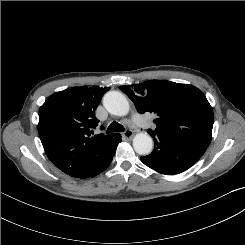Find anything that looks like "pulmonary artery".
<instances>
[{
	"label": "pulmonary artery",
	"mask_w": 245,
	"mask_h": 245,
	"mask_svg": "<svg viewBox=\"0 0 245 245\" xmlns=\"http://www.w3.org/2000/svg\"><path fill=\"white\" fill-rule=\"evenodd\" d=\"M133 121L140 127H143V128H149L150 125L142 118L140 117L139 115L135 114L133 116Z\"/></svg>",
	"instance_id": "e3ab8cb5"
}]
</instances>
